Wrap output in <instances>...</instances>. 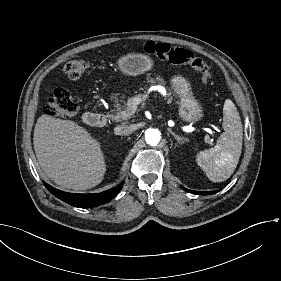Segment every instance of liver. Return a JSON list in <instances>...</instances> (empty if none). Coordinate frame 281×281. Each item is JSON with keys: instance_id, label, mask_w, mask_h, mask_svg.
<instances>
[{"instance_id": "liver-1", "label": "liver", "mask_w": 281, "mask_h": 281, "mask_svg": "<svg viewBox=\"0 0 281 281\" xmlns=\"http://www.w3.org/2000/svg\"><path fill=\"white\" fill-rule=\"evenodd\" d=\"M33 145L39 165L56 184L87 190L102 182L106 164L101 145L77 123L42 115Z\"/></svg>"}]
</instances>
